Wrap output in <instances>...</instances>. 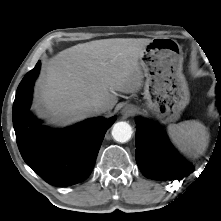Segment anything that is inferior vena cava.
Returning a JSON list of instances; mask_svg holds the SVG:
<instances>
[{"label":"inferior vena cava","instance_id":"1","mask_svg":"<svg viewBox=\"0 0 221 221\" xmlns=\"http://www.w3.org/2000/svg\"><path fill=\"white\" fill-rule=\"evenodd\" d=\"M109 107L103 103H94L90 104L86 107L85 111L89 116L100 115L106 111H108Z\"/></svg>","mask_w":221,"mask_h":221}]
</instances>
